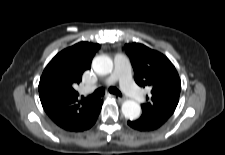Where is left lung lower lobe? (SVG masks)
Returning <instances> with one entry per match:
<instances>
[{
    "mask_svg": "<svg viewBox=\"0 0 225 155\" xmlns=\"http://www.w3.org/2000/svg\"><path fill=\"white\" fill-rule=\"evenodd\" d=\"M167 120L160 117L139 118L134 121H128V125L139 131H152L162 126Z\"/></svg>",
    "mask_w": 225,
    "mask_h": 155,
    "instance_id": "1",
    "label": "left lung lower lobe"
}]
</instances>
